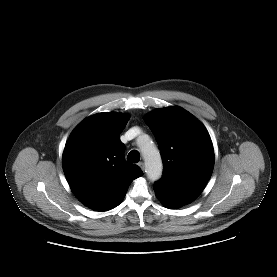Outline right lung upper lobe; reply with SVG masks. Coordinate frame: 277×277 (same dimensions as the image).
<instances>
[{"label": "right lung upper lobe", "instance_id": "cb5924a9", "mask_svg": "<svg viewBox=\"0 0 277 277\" xmlns=\"http://www.w3.org/2000/svg\"><path fill=\"white\" fill-rule=\"evenodd\" d=\"M128 116L114 112L92 115L71 133L62 165L75 196L96 211L112 209L124 198L131 182L142 176L125 161L120 134Z\"/></svg>", "mask_w": 277, "mask_h": 277}]
</instances>
